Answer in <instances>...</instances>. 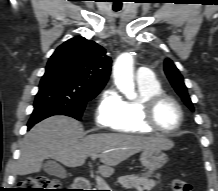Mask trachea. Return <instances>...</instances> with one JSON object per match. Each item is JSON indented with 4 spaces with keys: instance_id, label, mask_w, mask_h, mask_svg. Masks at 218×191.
Masks as SVG:
<instances>
[{
    "instance_id": "1",
    "label": "trachea",
    "mask_w": 218,
    "mask_h": 191,
    "mask_svg": "<svg viewBox=\"0 0 218 191\" xmlns=\"http://www.w3.org/2000/svg\"><path fill=\"white\" fill-rule=\"evenodd\" d=\"M114 10H115V11H119L120 9H118V8H114Z\"/></svg>"
}]
</instances>
